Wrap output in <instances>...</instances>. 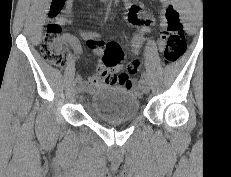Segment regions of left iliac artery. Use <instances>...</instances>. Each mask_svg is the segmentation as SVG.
<instances>
[{
	"label": "left iliac artery",
	"instance_id": "left-iliac-artery-1",
	"mask_svg": "<svg viewBox=\"0 0 231 177\" xmlns=\"http://www.w3.org/2000/svg\"><path fill=\"white\" fill-rule=\"evenodd\" d=\"M142 78H144V79H149L148 73H146L145 71H143V72H142Z\"/></svg>",
	"mask_w": 231,
	"mask_h": 177
}]
</instances>
